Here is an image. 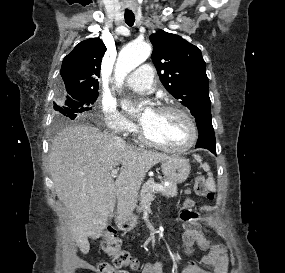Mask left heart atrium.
Instances as JSON below:
<instances>
[{
	"mask_svg": "<svg viewBox=\"0 0 285 273\" xmlns=\"http://www.w3.org/2000/svg\"><path fill=\"white\" fill-rule=\"evenodd\" d=\"M124 108L130 113H137L138 110L130 103H124ZM155 114V109L149 102H145L138 113V119L142 125L146 124Z\"/></svg>",
	"mask_w": 285,
	"mask_h": 273,
	"instance_id": "39dd6f15",
	"label": "left heart atrium"
}]
</instances>
